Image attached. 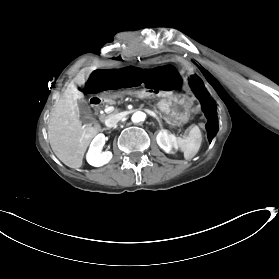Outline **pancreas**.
<instances>
[{"instance_id": "cf45deb5", "label": "pancreas", "mask_w": 279, "mask_h": 279, "mask_svg": "<svg viewBox=\"0 0 279 279\" xmlns=\"http://www.w3.org/2000/svg\"><path fill=\"white\" fill-rule=\"evenodd\" d=\"M109 103H110V104H115V101H114V100H110Z\"/></svg>"}]
</instances>
